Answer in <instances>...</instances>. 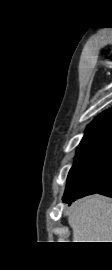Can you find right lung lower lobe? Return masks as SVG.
Here are the masks:
<instances>
[{"instance_id":"obj_1","label":"right lung lower lobe","mask_w":112,"mask_h":270,"mask_svg":"<svg viewBox=\"0 0 112 270\" xmlns=\"http://www.w3.org/2000/svg\"><path fill=\"white\" fill-rule=\"evenodd\" d=\"M81 181L85 192L77 199L94 193L112 197V145L97 167L86 174ZM73 201L75 200L67 203L70 205Z\"/></svg>"}]
</instances>
